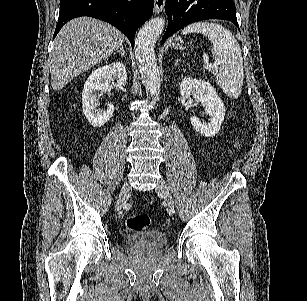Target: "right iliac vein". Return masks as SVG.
Listing matches in <instances>:
<instances>
[{
  "instance_id": "obj_1",
  "label": "right iliac vein",
  "mask_w": 307,
  "mask_h": 301,
  "mask_svg": "<svg viewBox=\"0 0 307 301\" xmlns=\"http://www.w3.org/2000/svg\"><path fill=\"white\" fill-rule=\"evenodd\" d=\"M129 192H130V188L128 184H124L123 187L121 188L119 198L115 205V209L117 212H119L122 209V207L125 205Z\"/></svg>"
}]
</instances>
